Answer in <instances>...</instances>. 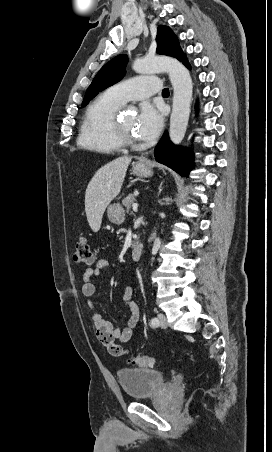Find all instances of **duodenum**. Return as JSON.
<instances>
[{
    "label": "duodenum",
    "mask_w": 272,
    "mask_h": 452,
    "mask_svg": "<svg viewBox=\"0 0 272 452\" xmlns=\"http://www.w3.org/2000/svg\"><path fill=\"white\" fill-rule=\"evenodd\" d=\"M143 251V245L141 243H136L131 249V258L133 260H138L141 257Z\"/></svg>",
    "instance_id": "1"
}]
</instances>
